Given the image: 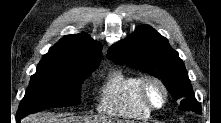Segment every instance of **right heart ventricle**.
I'll list each match as a JSON object with an SVG mask.
<instances>
[{
  "mask_svg": "<svg viewBox=\"0 0 221 123\" xmlns=\"http://www.w3.org/2000/svg\"><path fill=\"white\" fill-rule=\"evenodd\" d=\"M141 78L123 70L110 72L101 88L99 111L120 118H149L151 110L141 101L138 92Z\"/></svg>",
  "mask_w": 221,
  "mask_h": 123,
  "instance_id": "1",
  "label": "right heart ventricle"
}]
</instances>
